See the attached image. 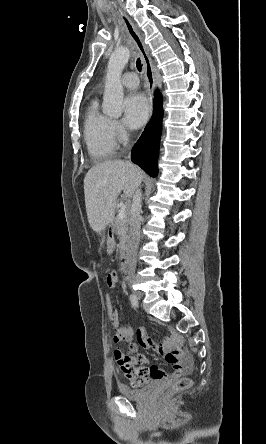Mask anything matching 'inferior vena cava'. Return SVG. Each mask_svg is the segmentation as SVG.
<instances>
[{
    "instance_id": "inferior-vena-cava-1",
    "label": "inferior vena cava",
    "mask_w": 266,
    "mask_h": 444,
    "mask_svg": "<svg viewBox=\"0 0 266 444\" xmlns=\"http://www.w3.org/2000/svg\"><path fill=\"white\" fill-rule=\"evenodd\" d=\"M141 202H142V194L140 189L137 187L135 194L133 195L131 213H130V229H129L130 270H134L136 268V253L140 240Z\"/></svg>"
}]
</instances>
